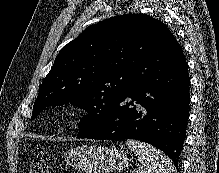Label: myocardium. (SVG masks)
Here are the masks:
<instances>
[{
  "mask_svg": "<svg viewBox=\"0 0 219 173\" xmlns=\"http://www.w3.org/2000/svg\"><path fill=\"white\" fill-rule=\"evenodd\" d=\"M76 115V109L73 106H64L58 111V118L64 124L71 123Z\"/></svg>",
  "mask_w": 219,
  "mask_h": 173,
  "instance_id": "1",
  "label": "myocardium"
}]
</instances>
